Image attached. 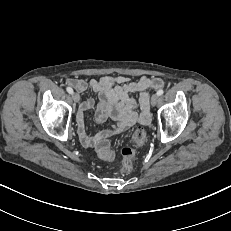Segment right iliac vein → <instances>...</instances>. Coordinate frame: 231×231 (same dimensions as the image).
<instances>
[{
  "mask_svg": "<svg viewBox=\"0 0 231 231\" xmlns=\"http://www.w3.org/2000/svg\"><path fill=\"white\" fill-rule=\"evenodd\" d=\"M72 98L75 102H79L80 101V96L78 93H73L72 94Z\"/></svg>",
  "mask_w": 231,
  "mask_h": 231,
  "instance_id": "obj_1",
  "label": "right iliac vein"
}]
</instances>
